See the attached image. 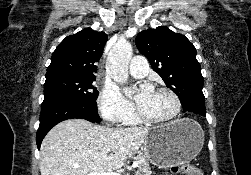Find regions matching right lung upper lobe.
Segmentation results:
<instances>
[{"label":"right lung upper lobe","mask_w":251,"mask_h":175,"mask_svg":"<svg viewBox=\"0 0 251 175\" xmlns=\"http://www.w3.org/2000/svg\"><path fill=\"white\" fill-rule=\"evenodd\" d=\"M107 39L104 32L90 28L66 37L53 52L46 77H95L97 66L94 63L99 62Z\"/></svg>","instance_id":"obj_1"}]
</instances>
